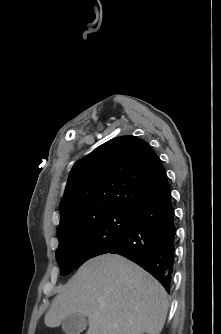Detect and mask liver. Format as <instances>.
Returning <instances> with one entry per match:
<instances>
[{"instance_id":"obj_1","label":"liver","mask_w":221,"mask_h":334,"mask_svg":"<svg viewBox=\"0 0 221 334\" xmlns=\"http://www.w3.org/2000/svg\"><path fill=\"white\" fill-rule=\"evenodd\" d=\"M168 312L167 292L149 273L117 254L84 263L52 300L44 322L58 327L69 315L88 318L86 334H159Z\"/></svg>"}]
</instances>
